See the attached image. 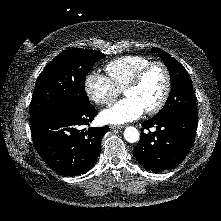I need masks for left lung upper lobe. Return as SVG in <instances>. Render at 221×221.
<instances>
[{
	"label": "left lung upper lobe",
	"instance_id": "1",
	"mask_svg": "<svg viewBox=\"0 0 221 221\" xmlns=\"http://www.w3.org/2000/svg\"><path fill=\"white\" fill-rule=\"evenodd\" d=\"M153 50L161 56L169 70L171 79L170 95L157 115L183 113L198 116L193 86L185 68L165 51L159 48Z\"/></svg>",
	"mask_w": 221,
	"mask_h": 221
}]
</instances>
